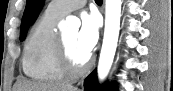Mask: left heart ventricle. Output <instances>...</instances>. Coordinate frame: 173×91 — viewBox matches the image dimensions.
Here are the masks:
<instances>
[{"label":"left heart ventricle","instance_id":"1","mask_svg":"<svg viewBox=\"0 0 173 91\" xmlns=\"http://www.w3.org/2000/svg\"><path fill=\"white\" fill-rule=\"evenodd\" d=\"M77 35L78 32L76 30H72L64 33L63 37L75 62L77 64H82L88 57L79 51L77 47Z\"/></svg>","mask_w":173,"mask_h":91}]
</instances>
